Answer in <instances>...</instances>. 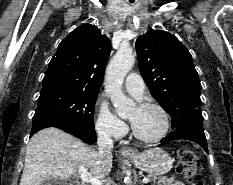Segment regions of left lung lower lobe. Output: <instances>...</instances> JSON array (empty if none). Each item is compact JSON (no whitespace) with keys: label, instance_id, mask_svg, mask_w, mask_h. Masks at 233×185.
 Segmentation results:
<instances>
[{"label":"left lung lower lobe","instance_id":"left-lung-lower-lobe-1","mask_svg":"<svg viewBox=\"0 0 233 185\" xmlns=\"http://www.w3.org/2000/svg\"><path fill=\"white\" fill-rule=\"evenodd\" d=\"M202 124L203 119L192 120L189 123L176 128L174 131L168 134L161 143H166L177 139H187L198 143L208 153L207 140L204 135Z\"/></svg>","mask_w":233,"mask_h":185}]
</instances>
